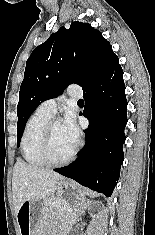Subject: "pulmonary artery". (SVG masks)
<instances>
[{"label":"pulmonary artery","mask_w":155,"mask_h":235,"mask_svg":"<svg viewBox=\"0 0 155 235\" xmlns=\"http://www.w3.org/2000/svg\"><path fill=\"white\" fill-rule=\"evenodd\" d=\"M68 95L74 98H79L82 96V89L78 86H72L68 89ZM38 109L48 115L53 116L57 109V100L52 98L42 102Z\"/></svg>","instance_id":"e3ab8cb5"}]
</instances>
